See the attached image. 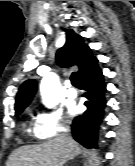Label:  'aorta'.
Instances as JSON below:
<instances>
[{
  "label": "aorta",
  "mask_w": 135,
  "mask_h": 166,
  "mask_svg": "<svg viewBox=\"0 0 135 166\" xmlns=\"http://www.w3.org/2000/svg\"><path fill=\"white\" fill-rule=\"evenodd\" d=\"M40 93L42 102L47 108H53L60 102V83L56 75L49 74L42 79Z\"/></svg>",
  "instance_id": "1"
}]
</instances>
